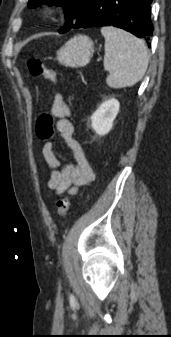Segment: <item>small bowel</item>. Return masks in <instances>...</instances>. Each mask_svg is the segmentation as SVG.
Wrapping results in <instances>:
<instances>
[{"label": "small bowel", "mask_w": 171, "mask_h": 337, "mask_svg": "<svg viewBox=\"0 0 171 337\" xmlns=\"http://www.w3.org/2000/svg\"><path fill=\"white\" fill-rule=\"evenodd\" d=\"M51 112L57 119L56 128L58 132L73 153L74 161L66 160L65 157L54 150L52 142H46L42 154L51 169L47 185L49 190L56 194L75 195L81 186L95 179V173L82 146L74 138V126L68 119L71 116V110L61 94L54 96Z\"/></svg>", "instance_id": "small-bowel-1"}]
</instances>
